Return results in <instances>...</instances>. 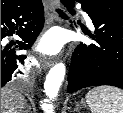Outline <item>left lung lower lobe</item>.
Returning a JSON list of instances; mask_svg holds the SVG:
<instances>
[{
    "instance_id": "0a47b994",
    "label": "left lung lower lobe",
    "mask_w": 123,
    "mask_h": 113,
    "mask_svg": "<svg viewBox=\"0 0 123 113\" xmlns=\"http://www.w3.org/2000/svg\"><path fill=\"white\" fill-rule=\"evenodd\" d=\"M73 14L74 2L81 3L92 19L95 44H80L74 50L68 74V93L111 85L123 88V12L98 0H61Z\"/></svg>"
}]
</instances>
